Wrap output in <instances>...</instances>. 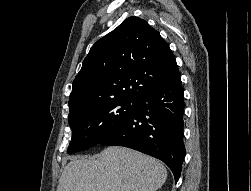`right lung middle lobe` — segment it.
Masks as SVG:
<instances>
[{
	"label": "right lung middle lobe",
	"mask_w": 251,
	"mask_h": 191,
	"mask_svg": "<svg viewBox=\"0 0 251 191\" xmlns=\"http://www.w3.org/2000/svg\"><path fill=\"white\" fill-rule=\"evenodd\" d=\"M135 110L136 101L131 99H117L70 109L68 121L72 129V140L67 152L71 154L99 144Z\"/></svg>",
	"instance_id": "dd1d6c3e"
}]
</instances>
